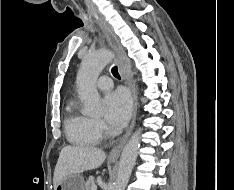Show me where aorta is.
I'll return each mask as SVG.
<instances>
[{
  "label": "aorta",
  "instance_id": "aorta-1",
  "mask_svg": "<svg viewBox=\"0 0 234 190\" xmlns=\"http://www.w3.org/2000/svg\"><path fill=\"white\" fill-rule=\"evenodd\" d=\"M112 57L111 51L101 49L88 53L82 59L77 74V89L86 114H97L101 111L102 99L97 91L96 81ZM140 135L141 129H138L122 151L113 190H125L140 148Z\"/></svg>",
  "mask_w": 234,
  "mask_h": 190
}]
</instances>
